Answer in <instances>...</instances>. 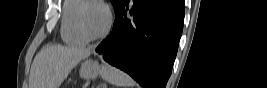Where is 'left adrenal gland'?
Wrapping results in <instances>:
<instances>
[{"instance_id":"obj_1","label":"left adrenal gland","mask_w":267,"mask_h":88,"mask_svg":"<svg viewBox=\"0 0 267 88\" xmlns=\"http://www.w3.org/2000/svg\"><path fill=\"white\" fill-rule=\"evenodd\" d=\"M98 88H107L106 84H101L98 86Z\"/></svg>"}]
</instances>
